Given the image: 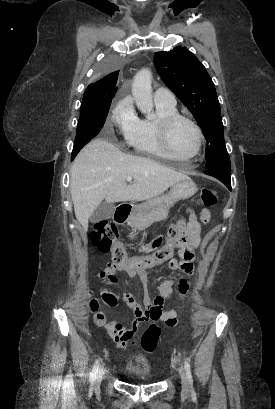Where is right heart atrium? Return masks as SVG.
I'll use <instances>...</instances> for the list:
<instances>
[{"label":"right heart atrium","mask_w":275,"mask_h":409,"mask_svg":"<svg viewBox=\"0 0 275 409\" xmlns=\"http://www.w3.org/2000/svg\"><path fill=\"white\" fill-rule=\"evenodd\" d=\"M138 121L132 102L130 100L120 102L111 115L112 125L116 128L120 137L114 143H130Z\"/></svg>","instance_id":"right-heart-atrium-1"}]
</instances>
